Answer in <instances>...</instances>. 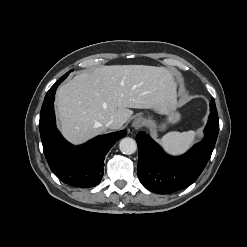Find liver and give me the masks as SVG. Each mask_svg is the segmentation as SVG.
Masks as SVG:
<instances>
[{
  "instance_id": "1",
  "label": "liver",
  "mask_w": 247,
  "mask_h": 247,
  "mask_svg": "<svg viewBox=\"0 0 247 247\" xmlns=\"http://www.w3.org/2000/svg\"><path fill=\"white\" fill-rule=\"evenodd\" d=\"M176 99V83L166 68L112 65L80 73L60 86L56 108L63 136L78 145L105 133L110 120L121 128L133 114L130 108L162 113Z\"/></svg>"
}]
</instances>
